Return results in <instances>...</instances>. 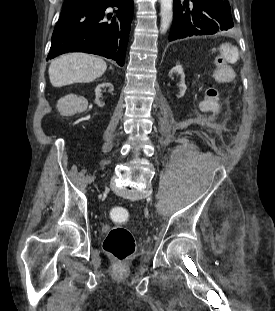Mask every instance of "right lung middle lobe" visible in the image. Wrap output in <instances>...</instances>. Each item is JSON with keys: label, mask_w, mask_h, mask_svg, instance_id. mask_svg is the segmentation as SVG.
Returning <instances> with one entry per match:
<instances>
[{"label": "right lung middle lobe", "mask_w": 275, "mask_h": 311, "mask_svg": "<svg viewBox=\"0 0 275 311\" xmlns=\"http://www.w3.org/2000/svg\"><path fill=\"white\" fill-rule=\"evenodd\" d=\"M69 4H67V3H64V6H68ZM71 5V4H70Z\"/></svg>", "instance_id": "right-lung-middle-lobe-1"}]
</instances>
